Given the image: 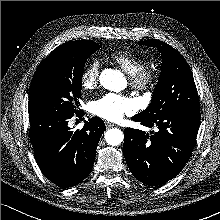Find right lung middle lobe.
Returning <instances> with one entry per match:
<instances>
[{
  "mask_svg": "<svg viewBox=\"0 0 220 220\" xmlns=\"http://www.w3.org/2000/svg\"><path fill=\"white\" fill-rule=\"evenodd\" d=\"M99 48L93 41L81 40L54 49L40 63L33 76L29 115L43 112L76 113L85 62Z\"/></svg>",
  "mask_w": 220,
  "mask_h": 220,
  "instance_id": "right-lung-middle-lobe-1",
  "label": "right lung middle lobe"
}]
</instances>
